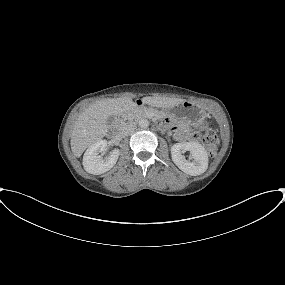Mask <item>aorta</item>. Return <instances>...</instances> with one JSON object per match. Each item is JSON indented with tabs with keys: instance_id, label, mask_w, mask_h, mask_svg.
<instances>
[{
	"instance_id": "1",
	"label": "aorta",
	"mask_w": 285,
	"mask_h": 285,
	"mask_svg": "<svg viewBox=\"0 0 285 285\" xmlns=\"http://www.w3.org/2000/svg\"><path fill=\"white\" fill-rule=\"evenodd\" d=\"M140 128L142 129H146L149 127V121L147 119H140L139 122H138Z\"/></svg>"
}]
</instances>
